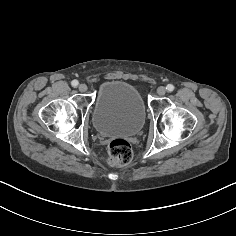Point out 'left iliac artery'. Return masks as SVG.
I'll use <instances>...</instances> for the list:
<instances>
[{"instance_id": "44dca946", "label": "left iliac artery", "mask_w": 236, "mask_h": 236, "mask_svg": "<svg viewBox=\"0 0 236 236\" xmlns=\"http://www.w3.org/2000/svg\"><path fill=\"white\" fill-rule=\"evenodd\" d=\"M166 89H167L168 92H172L174 90V86L172 84H168L166 86Z\"/></svg>"}]
</instances>
